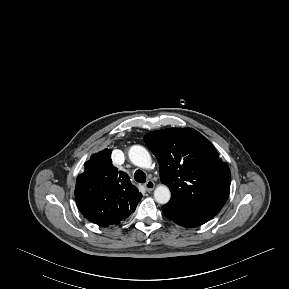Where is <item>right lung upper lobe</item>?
Instances as JSON below:
<instances>
[{
  "label": "right lung upper lobe",
  "instance_id": "obj_1",
  "mask_svg": "<svg viewBox=\"0 0 289 289\" xmlns=\"http://www.w3.org/2000/svg\"><path fill=\"white\" fill-rule=\"evenodd\" d=\"M142 194L129 176L118 171L111 150L93 154L85 162V171L77 177L75 201L86 219L95 224L112 222L135 210Z\"/></svg>",
  "mask_w": 289,
  "mask_h": 289
}]
</instances>
